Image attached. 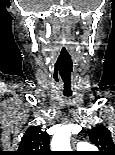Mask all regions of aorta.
<instances>
[{"label": "aorta", "instance_id": "aorta-1", "mask_svg": "<svg viewBox=\"0 0 115 155\" xmlns=\"http://www.w3.org/2000/svg\"><path fill=\"white\" fill-rule=\"evenodd\" d=\"M70 125H63L59 131L54 135L51 142V149L53 151H69L70 150Z\"/></svg>", "mask_w": 115, "mask_h": 155}]
</instances>
